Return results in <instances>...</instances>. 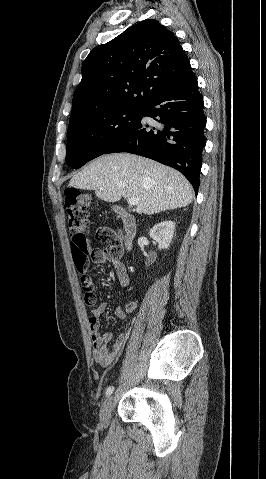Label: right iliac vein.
I'll return each mask as SVG.
<instances>
[{
	"label": "right iliac vein",
	"instance_id": "63e3f726",
	"mask_svg": "<svg viewBox=\"0 0 266 479\" xmlns=\"http://www.w3.org/2000/svg\"><path fill=\"white\" fill-rule=\"evenodd\" d=\"M113 404V396H110L103 403L100 410V424L102 427H107L110 422L111 410Z\"/></svg>",
	"mask_w": 266,
	"mask_h": 479
}]
</instances>
